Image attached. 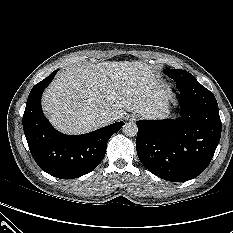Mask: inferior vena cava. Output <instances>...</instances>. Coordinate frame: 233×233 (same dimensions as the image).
Returning a JSON list of instances; mask_svg holds the SVG:
<instances>
[{
    "mask_svg": "<svg viewBox=\"0 0 233 233\" xmlns=\"http://www.w3.org/2000/svg\"><path fill=\"white\" fill-rule=\"evenodd\" d=\"M97 122H99L101 125L105 126V125L110 124L112 122V119L109 115L104 114L97 119Z\"/></svg>",
    "mask_w": 233,
    "mask_h": 233,
    "instance_id": "obj_1",
    "label": "inferior vena cava"
}]
</instances>
